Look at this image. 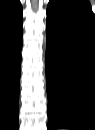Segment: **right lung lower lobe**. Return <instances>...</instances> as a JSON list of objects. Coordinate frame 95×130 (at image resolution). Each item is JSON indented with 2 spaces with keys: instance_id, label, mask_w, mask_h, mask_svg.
I'll return each mask as SVG.
<instances>
[{
  "instance_id": "obj_1",
  "label": "right lung lower lobe",
  "mask_w": 95,
  "mask_h": 130,
  "mask_svg": "<svg viewBox=\"0 0 95 130\" xmlns=\"http://www.w3.org/2000/svg\"><path fill=\"white\" fill-rule=\"evenodd\" d=\"M22 25L0 35V116L8 128L17 129L19 79L22 48ZM5 123V124H6Z\"/></svg>"
}]
</instances>
